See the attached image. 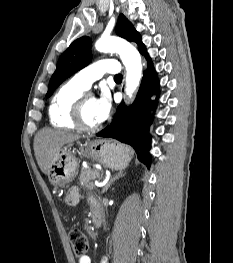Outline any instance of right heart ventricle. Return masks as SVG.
Wrapping results in <instances>:
<instances>
[{"label":"right heart ventricle","instance_id":"e07e8e85","mask_svg":"<svg viewBox=\"0 0 233 263\" xmlns=\"http://www.w3.org/2000/svg\"><path fill=\"white\" fill-rule=\"evenodd\" d=\"M84 90L71 79L55 92L48 109L49 120L54 127L77 128L72 118V109L75 101Z\"/></svg>","mask_w":233,"mask_h":263}]
</instances>
